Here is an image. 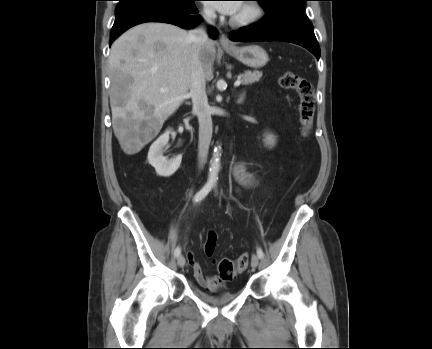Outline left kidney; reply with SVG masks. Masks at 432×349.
I'll use <instances>...</instances> for the list:
<instances>
[{
    "label": "left kidney",
    "mask_w": 432,
    "mask_h": 349,
    "mask_svg": "<svg viewBox=\"0 0 432 349\" xmlns=\"http://www.w3.org/2000/svg\"><path fill=\"white\" fill-rule=\"evenodd\" d=\"M265 142L267 145L273 146L275 144V138L273 135H266Z\"/></svg>",
    "instance_id": "1"
}]
</instances>
